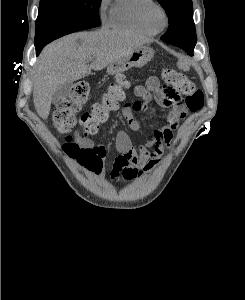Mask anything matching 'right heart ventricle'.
Listing matches in <instances>:
<instances>
[{
    "mask_svg": "<svg viewBox=\"0 0 245 300\" xmlns=\"http://www.w3.org/2000/svg\"><path fill=\"white\" fill-rule=\"evenodd\" d=\"M148 0H114L109 13L108 24L111 28L151 36L154 33L147 30L141 23L139 12Z\"/></svg>",
    "mask_w": 245,
    "mask_h": 300,
    "instance_id": "right-heart-ventricle-1",
    "label": "right heart ventricle"
}]
</instances>
